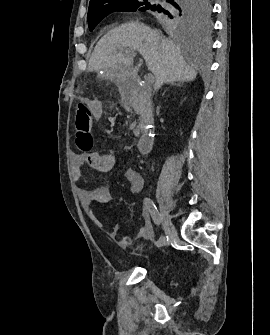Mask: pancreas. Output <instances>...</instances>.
<instances>
[{"label": "pancreas", "mask_w": 270, "mask_h": 335, "mask_svg": "<svg viewBox=\"0 0 270 335\" xmlns=\"http://www.w3.org/2000/svg\"><path fill=\"white\" fill-rule=\"evenodd\" d=\"M134 134H135V136H139L140 130H138V128H136V130H134Z\"/></svg>", "instance_id": "pancreas-1"}]
</instances>
